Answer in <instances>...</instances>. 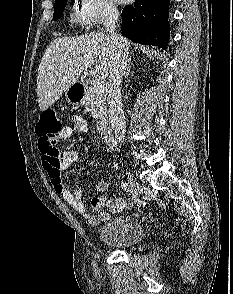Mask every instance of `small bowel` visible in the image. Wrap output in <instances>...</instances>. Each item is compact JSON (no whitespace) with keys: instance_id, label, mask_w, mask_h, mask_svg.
I'll return each mask as SVG.
<instances>
[{"instance_id":"obj_1","label":"small bowel","mask_w":233,"mask_h":294,"mask_svg":"<svg viewBox=\"0 0 233 294\" xmlns=\"http://www.w3.org/2000/svg\"><path fill=\"white\" fill-rule=\"evenodd\" d=\"M72 121L73 127L66 126L62 132V140H66L72 136L74 132L83 133L88 129L87 121L80 115H73ZM42 167L47 173L49 181L55 190L63 200L69 204L77 213L84 216V218L91 225H97L98 223L108 219L109 214L104 211L105 203L107 199L104 196H96L92 198L91 205L97 211L95 214H91L86 211L83 203V191L81 189L69 190L66 188L61 179V171L68 168L70 165L76 163L79 160V154L74 149H61L58 156H48L42 152L41 156ZM107 188L105 181H99L96 184L97 191H104ZM123 204L125 203L116 199Z\"/></svg>"}]
</instances>
